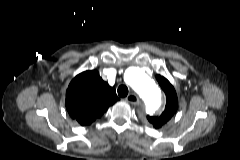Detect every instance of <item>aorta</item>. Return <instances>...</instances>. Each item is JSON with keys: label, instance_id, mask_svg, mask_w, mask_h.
Listing matches in <instances>:
<instances>
[{"label": "aorta", "instance_id": "aorta-1", "mask_svg": "<svg viewBox=\"0 0 240 160\" xmlns=\"http://www.w3.org/2000/svg\"><path fill=\"white\" fill-rule=\"evenodd\" d=\"M127 81L142 99L147 113H155L162 105V93L155 82L141 69L127 71Z\"/></svg>", "mask_w": 240, "mask_h": 160}]
</instances>
